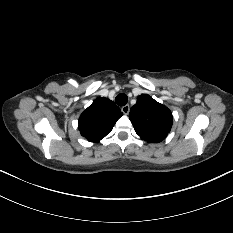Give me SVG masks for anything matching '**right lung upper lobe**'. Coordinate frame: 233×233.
Instances as JSON below:
<instances>
[{
  "label": "right lung upper lobe",
  "mask_w": 233,
  "mask_h": 233,
  "mask_svg": "<svg viewBox=\"0 0 233 233\" xmlns=\"http://www.w3.org/2000/svg\"><path fill=\"white\" fill-rule=\"evenodd\" d=\"M122 112L104 97L96 98L79 118V131L90 142H98L112 131Z\"/></svg>",
  "instance_id": "cb5924a9"
}]
</instances>
